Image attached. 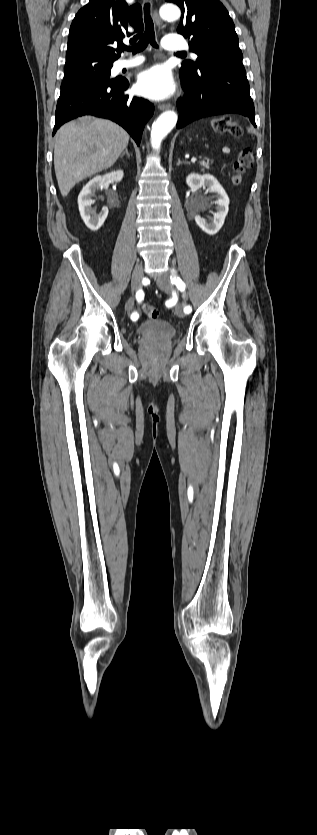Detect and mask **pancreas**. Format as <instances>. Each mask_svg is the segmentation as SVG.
Returning <instances> with one entry per match:
<instances>
[{
    "instance_id": "obj_1",
    "label": "pancreas",
    "mask_w": 317,
    "mask_h": 835,
    "mask_svg": "<svg viewBox=\"0 0 317 835\" xmlns=\"http://www.w3.org/2000/svg\"><path fill=\"white\" fill-rule=\"evenodd\" d=\"M200 165H201V166H203V167H205V168H209V167H210V165H209V160H207V159L202 160V161L200 162Z\"/></svg>"
}]
</instances>
